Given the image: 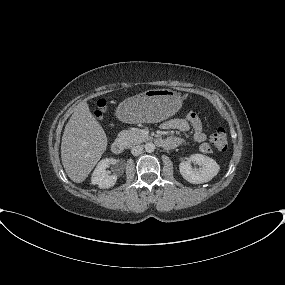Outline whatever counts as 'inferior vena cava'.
<instances>
[{"label":"inferior vena cava","instance_id":"obj_1","mask_svg":"<svg viewBox=\"0 0 285 285\" xmlns=\"http://www.w3.org/2000/svg\"><path fill=\"white\" fill-rule=\"evenodd\" d=\"M143 152V147L141 145H136L131 148V153L134 156L140 155Z\"/></svg>","mask_w":285,"mask_h":285}]
</instances>
